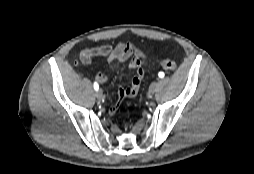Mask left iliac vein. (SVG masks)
Segmentation results:
<instances>
[{"instance_id": "1", "label": "left iliac vein", "mask_w": 254, "mask_h": 174, "mask_svg": "<svg viewBox=\"0 0 254 174\" xmlns=\"http://www.w3.org/2000/svg\"><path fill=\"white\" fill-rule=\"evenodd\" d=\"M158 89V83L153 82L149 87V94H154Z\"/></svg>"}]
</instances>
